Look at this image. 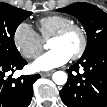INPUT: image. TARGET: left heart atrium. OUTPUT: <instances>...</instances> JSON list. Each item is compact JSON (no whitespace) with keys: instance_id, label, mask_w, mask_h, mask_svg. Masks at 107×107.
<instances>
[{"instance_id":"1","label":"left heart atrium","mask_w":107,"mask_h":107,"mask_svg":"<svg viewBox=\"0 0 107 107\" xmlns=\"http://www.w3.org/2000/svg\"><path fill=\"white\" fill-rule=\"evenodd\" d=\"M69 59L70 55L61 49H51L33 63V68L37 71H49L66 64Z\"/></svg>"}]
</instances>
